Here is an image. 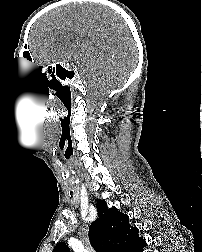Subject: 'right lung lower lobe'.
<instances>
[{
    "label": "right lung lower lobe",
    "instance_id": "1",
    "mask_svg": "<svg viewBox=\"0 0 202 252\" xmlns=\"http://www.w3.org/2000/svg\"><path fill=\"white\" fill-rule=\"evenodd\" d=\"M146 246V242H140L137 244L133 252H142L143 247Z\"/></svg>",
    "mask_w": 202,
    "mask_h": 252
}]
</instances>
